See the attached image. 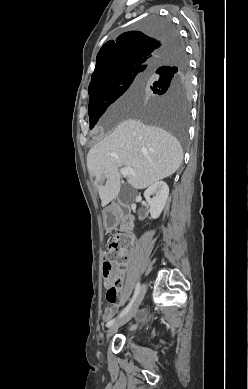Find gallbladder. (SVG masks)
Segmentation results:
<instances>
[{
  "label": "gallbladder",
  "instance_id": "bac80fb5",
  "mask_svg": "<svg viewBox=\"0 0 248 389\" xmlns=\"http://www.w3.org/2000/svg\"><path fill=\"white\" fill-rule=\"evenodd\" d=\"M119 198L122 202L127 203L132 198V191L129 186L124 185L120 191Z\"/></svg>",
  "mask_w": 248,
  "mask_h": 389
}]
</instances>
